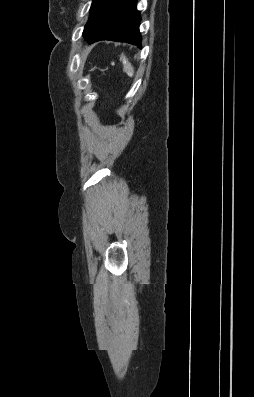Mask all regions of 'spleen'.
I'll list each match as a JSON object with an SVG mask.
<instances>
[{
  "label": "spleen",
  "instance_id": "spleen-1",
  "mask_svg": "<svg viewBox=\"0 0 254 397\" xmlns=\"http://www.w3.org/2000/svg\"><path fill=\"white\" fill-rule=\"evenodd\" d=\"M120 61L123 64V71L129 76L133 77L134 76V67L132 64L129 62L128 58L122 53L120 57Z\"/></svg>",
  "mask_w": 254,
  "mask_h": 397
}]
</instances>
